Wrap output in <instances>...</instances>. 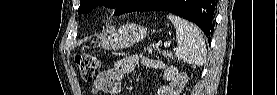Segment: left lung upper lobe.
I'll return each instance as SVG.
<instances>
[{
    "label": "left lung upper lobe",
    "instance_id": "obj_1",
    "mask_svg": "<svg viewBox=\"0 0 277 95\" xmlns=\"http://www.w3.org/2000/svg\"><path fill=\"white\" fill-rule=\"evenodd\" d=\"M145 1L146 0H80L78 14L89 12L98 5L109 4V7L116 6L115 15H120L135 11Z\"/></svg>",
    "mask_w": 277,
    "mask_h": 95
}]
</instances>
